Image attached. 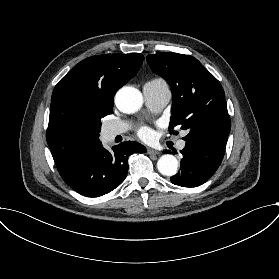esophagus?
<instances>
[{"label":"esophagus","instance_id":"1","mask_svg":"<svg viewBox=\"0 0 279 279\" xmlns=\"http://www.w3.org/2000/svg\"><path fill=\"white\" fill-rule=\"evenodd\" d=\"M158 151L153 148H147V154L153 157H156L158 155Z\"/></svg>","mask_w":279,"mask_h":279}]
</instances>
